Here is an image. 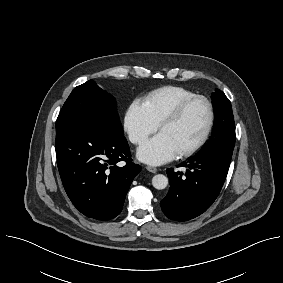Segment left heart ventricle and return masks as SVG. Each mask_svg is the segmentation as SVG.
<instances>
[{"label":"left heart ventricle","instance_id":"obj_1","mask_svg":"<svg viewBox=\"0 0 283 283\" xmlns=\"http://www.w3.org/2000/svg\"><path fill=\"white\" fill-rule=\"evenodd\" d=\"M208 108L203 101H195L184 112L181 119L164 127L165 135L178 153L193 145L203 134L208 123Z\"/></svg>","mask_w":283,"mask_h":283}]
</instances>
